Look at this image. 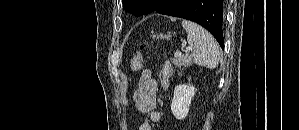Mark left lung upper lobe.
<instances>
[{"instance_id": "left-lung-upper-lobe-1", "label": "left lung upper lobe", "mask_w": 299, "mask_h": 130, "mask_svg": "<svg viewBox=\"0 0 299 130\" xmlns=\"http://www.w3.org/2000/svg\"><path fill=\"white\" fill-rule=\"evenodd\" d=\"M154 0H122L123 8L134 15L141 16Z\"/></svg>"}]
</instances>
